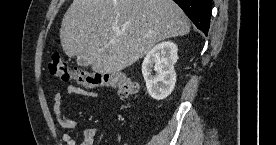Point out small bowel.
Instances as JSON below:
<instances>
[{"mask_svg": "<svg viewBox=\"0 0 276 145\" xmlns=\"http://www.w3.org/2000/svg\"><path fill=\"white\" fill-rule=\"evenodd\" d=\"M68 94H75L83 97L96 98L99 96L97 92L90 91L84 88L69 85L66 89ZM63 96L57 92L53 96V115L56 123L60 126L64 133L62 139L66 145H77L71 135V131L80 130V124L66 116L62 108ZM99 130L95 127L86 128L83 131V141L81 145H93L94 139L97 137Z\"/></svg>", "mask_w": 276, "mask_h": 145, "instance_id": "c3829d8e", "label": "small bowel"}]
</instances>
